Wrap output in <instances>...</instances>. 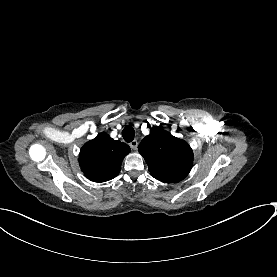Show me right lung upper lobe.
<instances>
[{
    "label": "right lung upper lobe",
    "instance_id": "right-lung-upper-lobe-1",
    "mask_svg": "<svg viewBox=\"0 0 277 277\" xmlns=\"http://www.w3.org/2000/svg\"><path fill=\"white\" fill-rule=\"evenodd\" d=\"M130 147L108 134L101 133L81 148L79 164L85 176L94 182H105L116 177L123 158Z\"/></svg>",
    "mask_w": 277,
    "mask_h": 277
}]
</instances>
